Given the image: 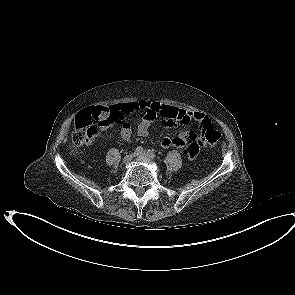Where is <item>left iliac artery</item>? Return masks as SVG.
I'll return each mask as SVG.
<instances>
[{
  "label": "left iliac artery",
  "instance_id": "44dca946",
  "mask_svg": "<svg viewBox=\"0 0 295 295\" xmlns=\"http://www.w3.org/2000/svg\"><path fill=\"white\" fill-rule=\"evenodd\" d=\"M147 154H148L151 158H153V159L156 157V155H155V153L153 152V150H150V149H149V150L147 151Z\"/></svg>",
  "mask_w": 295,
  "mask_h": 295
}]
</instances>
